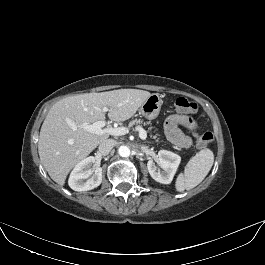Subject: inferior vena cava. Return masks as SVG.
<instances>
[{
  "label": "inferior vena cava",
  "mask_w": 265,
  "mask_h": 265,
  "mask_svg": "<svg viewBox=\"0 0 265 265\" xmlns=\"http://www.w3.org/2000/svg\"><path fill=\"white\" fill-rule=\"evenodd\" d=\"M115 145L116 141L114 139H107L99 145L98 153L100 155H107Z\"/></svg>",
  "instance_id": "obj_1"
}]
</instances>
